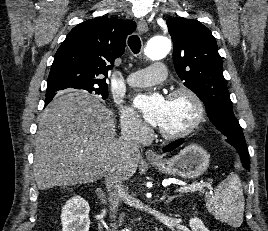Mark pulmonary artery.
Wrapping results in <instances>:
<instances>
[{
  "label": "pulmonary artery",
  "mask_w": 268,
  "mask_h": 231,
  "mask_svg": "<svg viewBox=\"0 0 268 231\" xmlns=\"http://www.w3.org/2000/svg\"><path fill=\"white\" fill-rule=\"evenodd\" d=\"M166 75V67L156 64L130 74L128 83L132 87H143L159 83Z\"/></svg>",
  "instance_id": "pulmonary-artery-1"
}]
</instances>
